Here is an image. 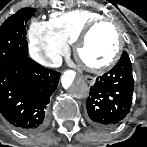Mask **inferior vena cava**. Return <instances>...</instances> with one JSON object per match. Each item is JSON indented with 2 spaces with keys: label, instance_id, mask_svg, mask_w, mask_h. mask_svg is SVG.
Listing matches in <instances>:
<instances>
[{
  "label": "inferior vena cava",
  "instance_id": "1",
  "mask_svg": "<svg viewBox=\"0 0 147 147\" xmlns=\"http://www.w3.org/2000/svg\"><path fill=\"white\" fill-rule=\"evenodd\" d=\"M62 64V58H59L56 62L50 64L51 67H59Z\"/></svg>",
  "mask_w": 147,
  "mask_h": 147
}]
</instances>
